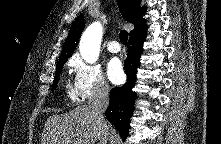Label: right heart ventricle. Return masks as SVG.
I'll return each mask as SVG.
<instances>
[{
	"mask_svg": "<svg viewBox=\"0 0 221 144\" xmlns=\"http://www.w3.org/2000/svg\"><path fill=\"white\" fill-rule=\"evenodd\" d=\"M68 95L71 98V100L75 101L77 99L75 91L71 88L70 85L67 86Z\"/></svg>",
	"mask_w": 221,
	"mask_h": 144,
	"instance_id": "right-heart-ventricle-1",
	"label": "right heart ventricle"
}]
</instances>
